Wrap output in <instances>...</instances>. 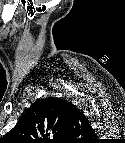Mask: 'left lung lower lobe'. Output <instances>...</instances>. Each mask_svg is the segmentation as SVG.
I'll return each instance as SVG.
<instances>
[{"instance_id": "obj_1", "label": "left lung lower lobe", "mask_w": 125, "mask_h": 143, "mask_svg": "<svg viewBox=\"0 0 125 143\" xmlns=\"http://www.w3.org/2000/svg\"><path fill=\"white\" fill-rule=\"evenodd\" d=\"M81 113L75 108V106L71 103H69L67 105V117H68V121H70V119H75L73 118L74 116H80Z\"/></svg>"}]
</instances>
